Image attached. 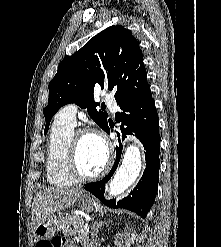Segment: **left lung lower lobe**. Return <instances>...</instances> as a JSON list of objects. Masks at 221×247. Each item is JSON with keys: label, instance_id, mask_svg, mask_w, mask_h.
<instances>
[{"label": "left lung lower lobe", "instance_id": "1", "mask_svg": "<svg viewBox=\"0 0 221 247\" xmlns=\"http://www.w3.org/2000/svg\"><path fill=\"white\" fill-rule=\"evenodd\" d=\"M118 105L121 111L116 113L115 118L117 122L122 123L120 126L121 134L125 138L126 134L134 133L142 142L145 149L146 169L137 186L126 198L118 202L115 200H105V183L114 174L121 157L122 147L121 145L119 147L116 146V161L110 173L101 181L86 184L85 190L95 195L105 205L111 208L128 209L145 218L154 203L159 181L160 135L155 102L150 93ZM109 125L111 126L110 121ZM109 125L107 124L104 130L106 133H110ZM117 135L120 144V133L117 132Z\"/></svg>", "mask_w": 221, "mask_h": 247}]
</instances>
